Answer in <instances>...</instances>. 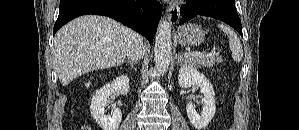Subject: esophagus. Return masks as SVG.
Wrapping results in <instances>:
<instances>
[{"label":"esophagus","mask_w":299,"mask_h":130,"mask_svg":"<svg viewBox=\"0 0 299 130\" xmlns=\"http://www.w3.org/2000/svg\"><path fill=\"white\" fill-rule=\"evenodd\" d=\"M167 13H168V20H169L170 25H175L179 21V18H180L178 8L171 6L168 8Z\"/></svg>","instance_id":"obj_1"}]
</instances>
